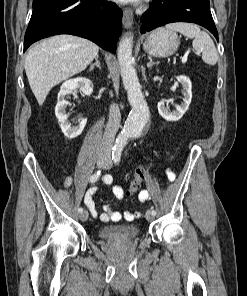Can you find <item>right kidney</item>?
<instances>
[{"instance_id":"1","label":"right kidney","mask_w":247,"mask_h":296,"mask_svg":"<svg viewBox=\"0 0 247 296\" xmlns=\"http://www.w3.org/2000/svg\"><path fill=\"white\" fill-rule=\"evenodd\" d=\"M76 89H80L84 94L90 95L93 92V83L91 80L85 77H77L65 81L58 93V101L55 107V115L58 119L60 128L65 137L69 139L76 138L79 136L87 123L86 118L80 119L79 124L72 126L68 121V114L66 113V106L69 102L66 100L67 95Z\"/></svg>"}]
</instances>
